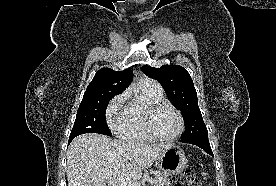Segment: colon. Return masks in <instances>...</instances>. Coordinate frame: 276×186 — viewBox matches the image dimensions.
<instances>
[{"label":"colon","instance_id":"obj_1","mask_svg":"<svg viewBox=\"0 0 276 186\" xmlns=\"http://www.w3.org/2000/svg\"><path fill=\"white\" fill-rule=\"evenodd\" d=\"M173 186H202L201 180L190 170L173 179Z\"/></svg>","mask_w":276,"mask_h":186}]
</instances>
